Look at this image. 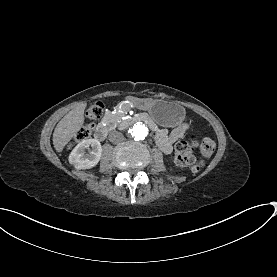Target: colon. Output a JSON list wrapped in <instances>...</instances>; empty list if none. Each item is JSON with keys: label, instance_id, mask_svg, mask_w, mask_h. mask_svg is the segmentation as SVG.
Wrapping results in <instances>:
<instances>
[{"label": "colon", "instance_id": "1", "mask_svg": "<svg viewBox=\"0 0 277 277\" xmlns=\"http://www.w3.org/2000/svg\"><path fill=\"white\" fill-rule=\"evenodd\" d=\"M105 108V100L101 99L98 102L89 104V107L86 110V114L89 118L97 119L100 118L103 114ZM91 128L85 126L77 134L78 140H84L90 137ZM198 147V142L194 139L192 140H183L176 144L175 148V158L179 167L189 168L192 171H199L203 164V159H198L194 156V151ZM199 150L203 158H209L214 150L215 145L211 140L201 141L199 145Z\"/></svg>", "mask_w": 277, "mask_h": 277}]
</instances>
